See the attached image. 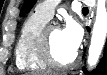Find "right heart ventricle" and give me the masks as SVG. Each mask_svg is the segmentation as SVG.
I'll return each mask as SVG.
<instances>
[{
    "label": "right heart ventricle",
    "instance_id": "obj_1",
    "mask_svg": "<svg viewBox=\"0 0 107 75\" xmlns=\"http://www.w3.org/2000/svg\"><path fill=\"white\" fill-rule=\"evenodd\" d=\"M48 20L37 12L32 13L24 21L15 45V63L23 71L42 72L48 66L40 57L38 39Z\"/></svg>",
    "mask_w": 107,
    "mask_h": 75
}]
</instances>
